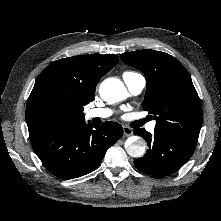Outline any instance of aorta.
<instances>
[{
  "label": "aorta",
  "mask_w": 221,
  "mask_h": 221,
  "mask_svg": "<svg viewBox=\"0 0 221 221\" xmlns=\"http://www.w3.org/2000/svg\"><path fill=\"white\" fill-rule=\"evenodd\" d=\"M99 93L107 103H116L127 97V90L123 83L116 78L105 79L99 87ZM146 143L142 138L131 137L126 146V151L131 157L140 158L145 154Z\"/></svg>",
  "instance_id": "762f6f07"
}]
</instances>
